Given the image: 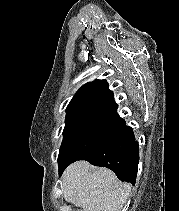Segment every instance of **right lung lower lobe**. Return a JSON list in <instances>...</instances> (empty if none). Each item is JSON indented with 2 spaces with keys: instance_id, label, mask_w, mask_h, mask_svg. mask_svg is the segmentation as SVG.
<instances>
[{
  "instance_id": "98d812e1",
  "label": "right lung lower lobe",
  "mask_w": 179,
  "mask_h": 211,
  "mask_svg": "<svg viewBox=\"0 0 179 211\" xmlns=\"http://www.w3.org/2000/svg\"><path fill=\"white\" fill-rule=\"evenodd\" d=\"M78 160H86L92 165L111 169L121 181L135 184L139 163V145L133 129L125 125L123 119L111 135L100 145L82 155ZM59 167L61 175L65 168Z\"/></svg>"
}]
</instances>
